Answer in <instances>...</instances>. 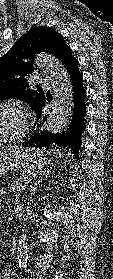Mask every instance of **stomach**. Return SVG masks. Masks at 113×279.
I'll use <instances>...</instances> for the list:
<instances>
[{"label":"stomach","instance_id":"stomach-1","mask_svg":"<svg viewBox=\"0 0 113 279\" xmlns=\"http://www.w3.org/2000/svg\"><path fill=\"white\" fill-rule=\"evenodd\" d=\"M52 153L44 148L9 147L0 152V177L9 171H33L52 161Z\"/></svg>","mask_w":113,"mask_h":279}]
</instances>
